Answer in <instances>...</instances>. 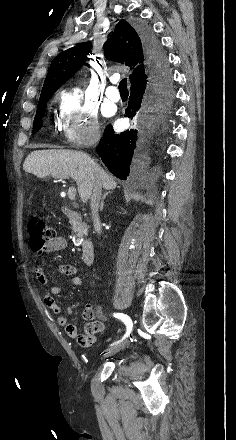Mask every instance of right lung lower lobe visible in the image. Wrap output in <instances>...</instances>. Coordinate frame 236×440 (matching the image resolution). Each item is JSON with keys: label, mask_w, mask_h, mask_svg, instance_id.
I'll list each match as a JSON object with an SVG mask.
<instances>
[{"label": "right lung lower lobe", "mask_w": 236, "mask_h": 440, "mask_svg": "<svg viewBox=\"0 0 236 440\" xmlns=\"http://www.w3.org/2000/svg\"><path fill=\"white\" fill-rule=\"evenodd\" d=\"M139 33L147 59L149 78L146 82L131 88L128 107L125 111V116L128 118L134 117L136 113L142 112L148 105L155 103L153 97L155 91L172 81L167 56L157 37L146 26L140 27ZM137 135V130H126L115 134L112 126L108 125L97 147V153L106 167L122 180H126L129 176Z\"/></svg>", "instance_id": "98d812e1"}]
</instances>
